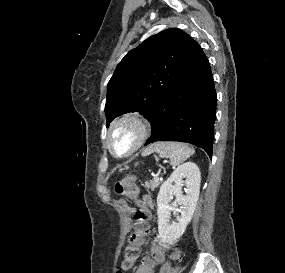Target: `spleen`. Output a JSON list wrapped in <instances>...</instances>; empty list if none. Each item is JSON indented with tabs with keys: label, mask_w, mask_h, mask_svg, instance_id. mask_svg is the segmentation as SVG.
<instances>
[{
	"label": "spleen",
	"mask_w": 285,
	"mask_h": 273,
	"mask_svg": "<svg viewBox=\"0 0 285 273\" xmlns=\"http://www.w3.org/2000/svg\"><path fill=\"white\" fill-rule=\"evenodd\" d=\"M158 153L161 157L169 158L173 166H178L195 153L188 144L181 142H158L146 148L142 155Z\"/></svg>",
	"instance_id": "obj_1"
}]
</instances>
